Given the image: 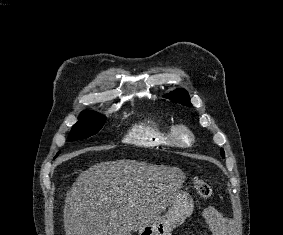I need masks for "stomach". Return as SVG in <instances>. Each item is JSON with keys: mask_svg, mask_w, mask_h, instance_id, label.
<instances>
[{"mask_svg": "<svg viewBox=\"0 0 283 235\" xmlns=\"http://www.w3.org/2000/svg\"><path fill=\"white\" fill-rule=\"evenodd\" d=\"M193 208L189 192L179 188L173 192L167 212L136 230L137 235H171L172 230L191 215Z\"/></svg>", "mask_w": 283, "mask_h": 235, "instance_id": "stomach-1", "label": "stomach"}]
</instances>
